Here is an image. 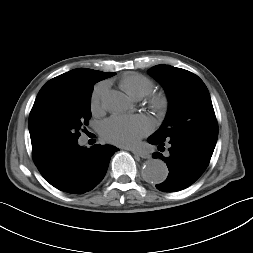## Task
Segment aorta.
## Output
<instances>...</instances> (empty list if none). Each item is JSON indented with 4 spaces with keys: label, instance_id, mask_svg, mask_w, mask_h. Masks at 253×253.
Instances as JSON below:
<instances>
[{
    "label": "aorta",
    "instance_id": "obj_1",
    "mask_svg": "<svg viewBox=\"0 0 253 253\" xmlns=\"http://www.w3.org/2000/svg\"><path fill=\"white\" fill-rule=\"evenodd\" d=\"M102 102L109 111L114 113H123L130 107L128 97L116 90L107 92ZM142 174L146 181L152 184H160L166 180L168 168L165 162L160 159H149L143 166Z\"/></svg>",
    "mask_w": 253,
    "mask_h": 253
}]
</instances>
